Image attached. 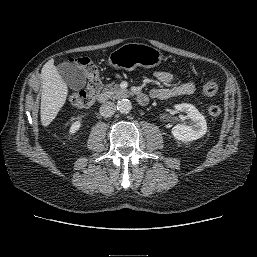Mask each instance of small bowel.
<instances>
[{
	"label": "small bowel",
	"instance_id": "1",
	"mask_svg": "<svg viewBox=\"0 0 257 257\" xmlns=\"http://www.w3.org/2000/svg\"><path fill=\"white\" fill-rule=\"evenodd\" d=\"M155 78L162 83H175L169 88H154L150 95L154 99L166 100L181 95H192L197 90V85L190 78H182L178 73L169 70H157L154 72Z\"/></svg>",
	"mask_w": 257,
	"mask_h": 257
}]
</instances>
